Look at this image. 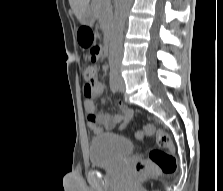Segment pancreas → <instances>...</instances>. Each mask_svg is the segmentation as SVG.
I'll return each mask as SVG.
<instances>
[{
	"label": "pancreas",
	"instance_id": "pancreas-1",
	"mask_svg": "<svg viewBox=\"0 0 223 191\" xmlns=\"http://www.w3.org/2000/svg\"><path fill=\"white\" fill-rule=\"evenodd\" d=\"M91 9L96 17H104L107 23H109V19L112 15V5L110 0H92Z\"/></svg>",
	"mask_w": 223,
	"mask_h": 191
}]
</instances>
